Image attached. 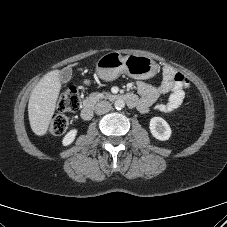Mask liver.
Returning <instances> with one entry per match:
<instances>
[{
  "label": "liver",
  "mask_w": 227,
  "mask_h": 227,
  "mask_svg": "<svg viewBox=\"0 0 227 227\" xmlns=\"http://www.w3.org/2000/svg\"><path fill=\"white\" fill-rule=\"evenodd\" d=\"M78 65L74 63L68 68ZM60 71L45 74L31 92L28 103V116L32 131L42 136L46 134L55 111L56 101L61 89Z\"/></svg>",
  "instance_id": "liver-1"
}]
</instances>
